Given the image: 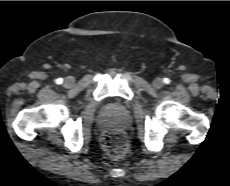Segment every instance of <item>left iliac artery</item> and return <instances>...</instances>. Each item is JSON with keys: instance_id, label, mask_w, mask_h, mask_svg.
Instances as JSON below:
<instances>
[{"instance_id": "1", "label": "left iliac artery", "mask_w": 230, "mask_h": 186, "mask_svg": "<svg viewBox=\"0 0 230 186\" xmlns=\"http://www.w3.org/2000/svg\"><path fill=\"white\" fill-rule=\"evenodd\" d=\"M163 82H164L165 84H169V83L171 82V80H170L169 78H164V79H163Z\"/></svg>"}]
</instances>
